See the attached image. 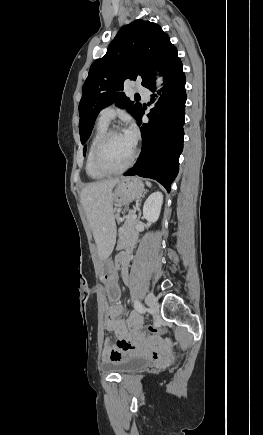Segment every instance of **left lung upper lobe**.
<instances>
[{"label":"left lung upper lobe","instance_id":"obj_1","mask_svg":"<svg viewBox=\"0 0 263 435\" xmlns=\"http://www.w3.org/2000/svg\"><path fill=\"white\" fill-rule=\"evenodd\" d=\"M177 59L176 47L158 24L139 19L123 26L106 55L93 62L83 85L79 103L82 144L89 138L98 113L114 102L138 119L143 108L122 92L126 79L142 78V85L149 89L155 84V69L164 76Z\"/></svg>","mask_w":263,"mask_h":435}]
</instances>
